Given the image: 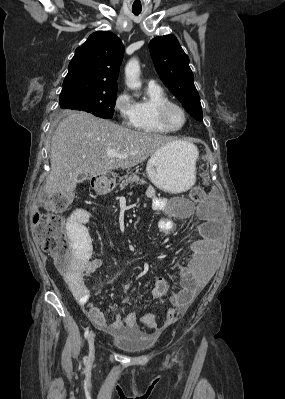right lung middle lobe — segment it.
Instances as JSON below:
<instances>
[{
  "label": "right lung middle lobe",
  "mask_w": 285,
  "mask_h": 399,
  "mask_svg": "<svg viewBox=\"0 0 285 399\" xmlns=\"http://www.w3.org/2000/svg\"><path fill=\"white\" fill-rule=\"evenodd\" d=\"M116 93L80 91L60 94V107L89 112L97 117L111 119L114 114Z\"/></svg>",
  "instance_id": "1"
}]
</instances>
